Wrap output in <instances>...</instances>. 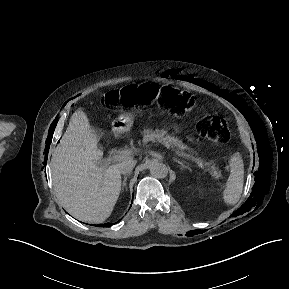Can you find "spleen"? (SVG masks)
Wrapping results in <instances>:
<instances>
[{
    "label": "spleen",
    "mask_w": 289,
    "mask_h": 289,
    "mask_svg": "<svg viewBox=\"0 0 289 289\" xmlns=\"http://www.w3.org/2000/svg\"><path fill=\"white\" fill-rule=\"evenodd\" d=\"M230 174L223 191V201L227 205L236 204L242 194L244 183V164L239 153H235L229 160Z\"/></svg>",
    "instance_id": "3e777b00"
}]
</instances>
